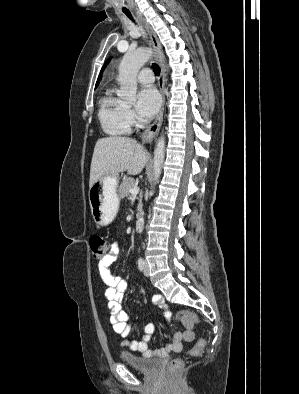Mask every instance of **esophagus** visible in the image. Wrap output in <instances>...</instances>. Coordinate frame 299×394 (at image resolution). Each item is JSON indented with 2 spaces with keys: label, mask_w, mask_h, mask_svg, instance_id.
<instances>
[{
  "label": "esophagus",
  "mask_w": 299,
  "mask_h": 394,
  "mask_svg": "<svg viewBox=\"0 0 299 394\" xmlns=\"http://www.w3.org/2000/svg\"><path fill=\"white\" fill-rule=\"evenodd\" d=\"M143 23L145 25V28L147 30L149 39H150V43L152 44V47L155 51V55H156V60L158 61V64L160 66V76L158 79V85H159V90L162 96V104L159 110V113L157 114L154 122L148 127V129L145 130V132L143 133L142 136V140L144 143L150 142L153 137L159 132L161 124H162V120H163V113H164V102H165V96H164V84H165V70L163 67V52H162V48L161 45L159 43V40L153 30V28L150 26L149 23H147L146 21L143 20Z\"/></svg>",
  "instance_id": "esophagus-1"
}]
</instances>
